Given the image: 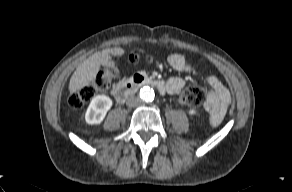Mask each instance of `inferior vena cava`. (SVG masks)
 I'll list each match as a JSON object with an SVG mask.
<instances>
[{
  "mask_svg": "<svg viewBox=\"0 0 292 192\" xmlns=\"http://www.w3.org/2000/svg\"><path fill=\"white\" fill-rule=\"evenodd\" d=\"M141 103H142L141 99L139 97H136V96H130L126 102V104L130 107L139 106Z\"/></svg>",
  "mask_w": 292,
  "mask_h": 192,
  "instance_id": "602c4592",
  "label": "inferior vena cava"
}]
</instances>
